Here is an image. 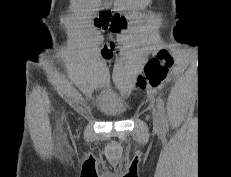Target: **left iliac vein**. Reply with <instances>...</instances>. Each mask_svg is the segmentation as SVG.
Masks as SVG:
<instances>
[{"instance_id":"left-iliac-vein-1","label":"left iliac vein","mask_w":231,"mask_h":177,"mask_svg":"<svg viewBox=\"0 0 231 177\" xmlns=\"http://www.w3.org/2000/svg\"><path fill=\"white\" fill-rule=\"evenodd\" d=\"M152 114H153V124H154V127L156 129H159L160 128V116H159L156 108L154 107V105H152Z\"/></svg>"}]
</instances>
